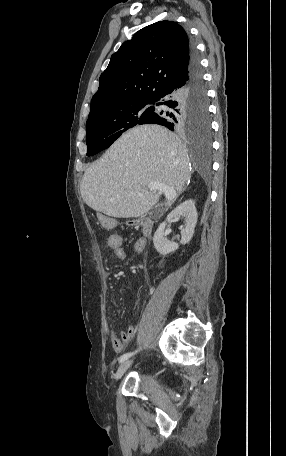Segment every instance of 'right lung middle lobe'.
<instances>
[{
  "mask_svg": "<svg viewBox=\"0 0 286 456\" xmlns=\"http://www.w3.org/2000/svg\"><path fill=\"white\" fill-rule=\"evenodd\" d=\"M155 113L153 100H135L113 104L98 111L86 122L87 155L108 148L123 132L146 124ZM209 122L195 130L208 131Z\"/></svg>",
  "mask_w": 286,
  "mask_h": 456,
  "instance_id": "obj_1",
  "label": "right lung middle lobe"
}]
</instances>
